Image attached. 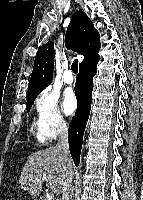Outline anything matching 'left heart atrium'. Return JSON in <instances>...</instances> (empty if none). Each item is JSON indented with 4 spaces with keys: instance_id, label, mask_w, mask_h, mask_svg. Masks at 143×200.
Masks as SVG:
<instances>
[{
    "instance_id": "1",
    "label": "left heart atrium",
    "mask_w": 143,
    "mask_h": 200,
    "mask_svg": "<svg viewBox=\"0 0 143 200\" xmlns=\"http://www.w3.org/2000/svg\"><path fill=\"white\" fill-rule=\"evenodd\" d=\"M63 111L67 115H71L77 108V99L71 89H67L63 94L62 99Z\"/></svg>"
}]
</instances>
